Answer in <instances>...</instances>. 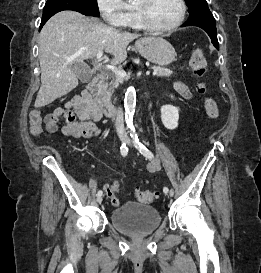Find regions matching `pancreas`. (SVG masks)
Segmentation results:
<instances>
[{"label":"pancreas","instance_id":"pancreas-1","mask_svg":"<svg viewBox=\"0 0 261 273\" xmlns=\"http://www.w3.org/2000/svg\"><path fill=\"white\" fill-rule=\"evenodd\" d=\"M154 70H157V75L160 77H170L173 72L170 69L164 68V67H160V66H154L153 67ZM124 78L123 77H119L116 74L112 75V80L110 81L109 84L105 85V88L107 90V94L111 95L114 91L115 88H117L121 83H123Z\"/></svg>","mask_w":261,"mask_h":273}]
</instances>
